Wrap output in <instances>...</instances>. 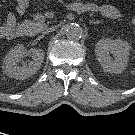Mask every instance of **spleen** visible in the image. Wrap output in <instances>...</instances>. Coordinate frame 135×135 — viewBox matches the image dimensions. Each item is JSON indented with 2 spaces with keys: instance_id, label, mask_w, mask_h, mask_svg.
I'll use <instances>...</instances> for the list:
<instances>
[{
  "instance_id": "spleen-1",
  "label": "spleen",
  "mask_w": 135,
  "mask_h": 135,
  "mask_svg": "<svg viewBox=\"0 0 135 135\" xmlns=\"http://www.w3.org/2000/svg\"><path fill=\"white\" fill-rule=\"evenodd\" d=\"M131 74H132V75H135V69H133V70L131 71Z\"/></svg>"
}]
</instances>
